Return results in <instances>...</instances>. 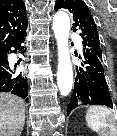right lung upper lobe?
<instances>
[{
    "label": "right lung upper lobe",
    "instance_id": "1",
    "mask_svg": "<svg viewBox=\"0 0 117 136\" xmlns=\"http://www.w3.org/2000/svg\"><path fill=\"white\" fill-rule=\"evenodd\" d=\"M25 4L22 0H0V51L26 26Z\"/></svg>",
    "mask_w": 117,
    "mask_h": 136
}]
</instances>
